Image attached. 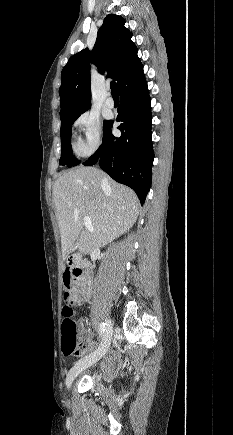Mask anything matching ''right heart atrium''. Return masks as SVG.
I'll list each match as a JSON object with an SVG mask.
<instances>
[{"mask_svg":"<svg viewBox=\"0 0 233 435\" xmlns=\"http://www.w3.org/2000/svg\"><path fill=\"white\" fill-rule=\"evenodd\" d=\"M75 126L83 133V137L76 143L77 153L80 155L93 153L102 141L99 116L93 111H86L76 119Z\"/></svg>","mask_w":233,"mask_h":435,"instance_id":"right-heart-atrium-1","label":"right heart atrium"}]
</instances>
